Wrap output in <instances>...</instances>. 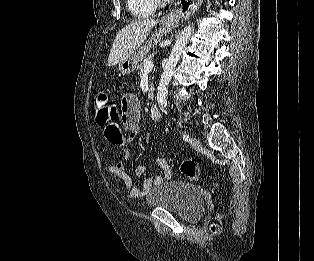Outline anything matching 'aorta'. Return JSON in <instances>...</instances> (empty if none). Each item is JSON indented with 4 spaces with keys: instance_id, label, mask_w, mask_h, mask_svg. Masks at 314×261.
<instances>
[{
    "instance_id": "aorta-1",
    "label": "aorta",
    "mask_w": 314,
    "mask_h": 261,
    "mask_svg": "<svg viewBox=\"0 0 314 261\" xmlns=\"http://www.w3.org/2000/svg\"><path fill=\"white\" fill-rule=\"evenodd\" d=\"M193 29L194 26L189 25L182 30L163 69L157 90V102L161 108H165L167 106L168 85L170 83L173 71L180 60L181 54L191 37Z\"/></svg>"
}]
</instances>
